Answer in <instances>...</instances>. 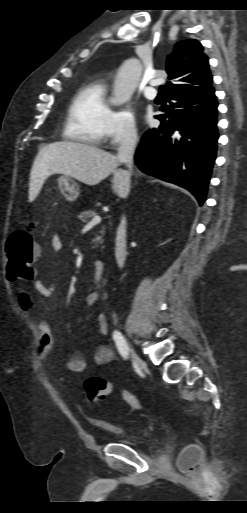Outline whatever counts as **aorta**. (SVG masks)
<instances>
[{
  "label": "aorta",
  "instance_id": "aorta-1",
  "mask_svg": "<svg viewBox=\"0 0 247 513\" xmlns=\"http://www.w3.org/2000/svg\"><path fill=\"white\" fill-rule=\"evenodd\" d=\"M141 71V63L136 58L128 59L121 65L114 84L112 99L114 105H122L131 98L140 79Z\"/></svg>",
  "mask_w": 247,
  "mask_h": 513
}]
</instances>
